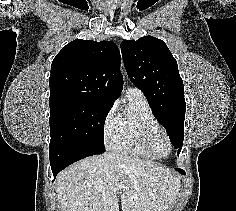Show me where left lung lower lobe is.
Segmentation results:
<instances>
[{
    "mask_svg": "<svg viewBox=\"0 0 236 211\" xmlns=\"http://www.w3.org/2000/svg\"><path fill=\"white\" fill-rule=\"evenodd\" d=\"M176 170L178 171V172H180L181 174H185V171L184 170H182V169H179V168H176Z\"/></svg>",
    "mask_w": 236,
    "mask_h": 211,
    "instance_id": "obj_1",
    "label": "left lung lower lobe"
}]
</instances>
